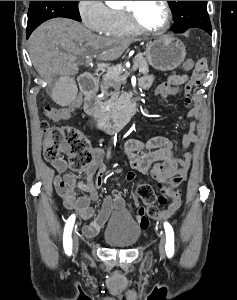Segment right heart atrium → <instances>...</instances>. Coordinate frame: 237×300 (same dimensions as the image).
<instances>
[{
	"instance_id": "right-heart-atrium-1",
	"label": "right heart atrium",
	"mask_w": 237,
	"mask_h": 300,
	"mask_svg": "<svg viewBox=\"0 0 237 300\" xmlns=\"http://www.w3.org/2000/svg\"><path fill=\"white\" fill-rule=\"evenodd\" d=\"M78 11L83 24L98 34L112 31V10L104 1H78Z\"/></svg>"
}]
</instances>
